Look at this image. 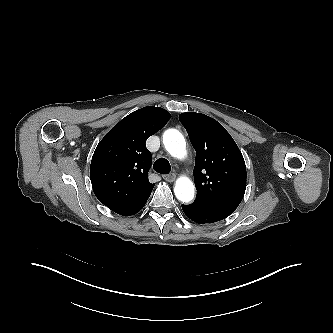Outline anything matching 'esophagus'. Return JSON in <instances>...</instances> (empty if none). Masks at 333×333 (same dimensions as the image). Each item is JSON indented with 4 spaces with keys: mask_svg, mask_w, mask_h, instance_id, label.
<instances>
[{
    "mask_svg": "<svg viewBox=\"0 0 333 333\" xmlns=\"http://www.w3.org/2000/svg\"><path fill=\"white\" fill-rule=\"evenodd\" d=\"M163 178L168 182H173L176 179V175L174 173L163 175Z\"/></svg>",
    "mask_w": 333,
    "mask_h": 333,
    "instance_id": "esophagus-1",
    "label": "esophagus"
}]
</instances>
